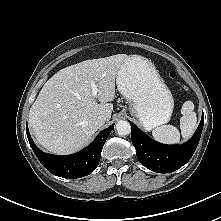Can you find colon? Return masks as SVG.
I'll return each mask as SVG.
<instances>
[{"label": "colon", "mask_w": 221, "mask_h": 221, "mask_svg": "<svg viewBox=\"0 0 221 221\" xmlns=\"http://www.w3.org/2000/svg\"><path fill=\"white\" fill-rule=\"evenodd\" d=\"M170 76H171V78L175 79V78H176V73H175V72H172V73L170 74Z\"/></svg>", "instance_id": "colon-1"}]
</instances>
